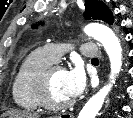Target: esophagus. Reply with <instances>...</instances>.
<instances>
[{
  "instance_id": "esophagus-1",
  "label": "esophagus",
  "mask_w": 133,
  "mask_h": 118,
  "mask_svg": "<svg viewBox=\"0 0 133 118\" xmlns=\"http://www.w3.org/2000/svg\"><path fill=\"white\" fill-rule=\"evenodd\" d=\"M60 118H74L73 114L71 113H65L60 116Z\"/></svg>"
}]
</instances>
